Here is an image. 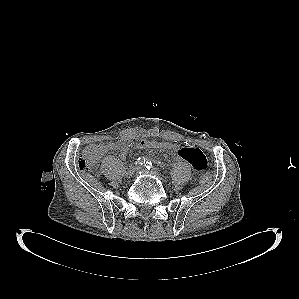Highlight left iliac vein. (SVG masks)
<instances>
[{
	"label": "left iliac vein",
	"mask_w": 299,
	"mask_h": 299,
	"mask_svg": "<svg viewBox=\"0 0 299 299\" xmlns=\"http://www.w3.org/2000/svg\"><path fill=\"white\" fill-rule=\"evenodd\" d=\"M137 170H139V171H145V169L143 167H137ZM152 174L156 175V173H152Z\"/></svg>",
	"instance_id": "4c4485c4"
}]
</instances>
